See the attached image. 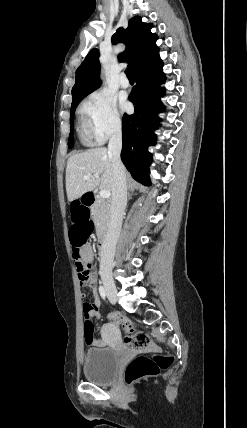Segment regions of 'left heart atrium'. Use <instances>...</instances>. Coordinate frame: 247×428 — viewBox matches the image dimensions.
Here are the masks:
<instances>
[{"label": "left heart atrium", "instance_id": "left-heart-atrium-1", "mask_svg": "<svg viewBox=\"0 0 247 428\" xmlns=\"http://www.w3.org/2000/svg\"><path fill=\"white\" fill-rule=\"evenodd\" d=\"M120 107H121V109L122 110H127L128 108H129V104H128V102L124 99V98H122L121 100H120Z\"/></svg>", "mask_w": 247, "mask_h": 428}]
</instances>
